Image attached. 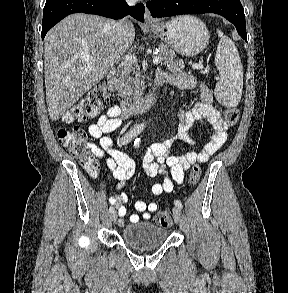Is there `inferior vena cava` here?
Here are the masks:
<instances>
[{
  "label": "inferior vena cava",
  "mask_w": 288,
  "mask_h": 293,
  "mask_svg": "<svg viewBox=\"0 0 288 293\" xmlns=\"http://www.w3.org/2000/svg\"><path fill=\"white\" fill-rule=\"evenodd\" d=\"M127 2L130 5H134V4L138 3V0H127ZM126 22H127V20L122 19V20H119L115 23V28H116V31L119 35H121L125 31Z\"/></svg>",
  "instance_id": "obj_1"
}]
</instances>
